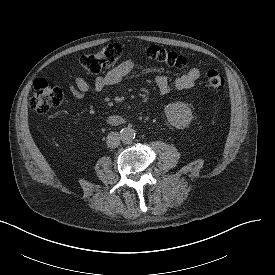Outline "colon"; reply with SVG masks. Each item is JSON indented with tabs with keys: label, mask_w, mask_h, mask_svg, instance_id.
Here are the masks:
<instances>
[{
	"label": "colon",
	"mask_w": 275,
	"mask_h": 275,
	"mask_svg": "<svg viewBox=\"0 0 275 275\" xmlns=\"http://www.w3.org/2000/svg\"><path fill=\"white\" fill-rule=\"evenodd\" d=\"M144 52L151 59L171 67L183 68L187 65V60L182 54L157 45H149ZM122 55L123 49L121 45L113 43L95 52L82 55L80 64L88 72L97 74L116 65ZM205 85L208 90L218 92L223 89L225 79L217 70L211 69L206 73ZM32 90L31 108L37 114H44L50 108L56 107L63 102L62 90L45 79H36Z\"/></svg>",
	"instance_id": "1"
}]
</instances>
